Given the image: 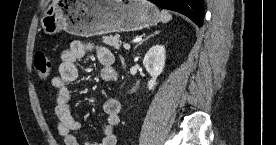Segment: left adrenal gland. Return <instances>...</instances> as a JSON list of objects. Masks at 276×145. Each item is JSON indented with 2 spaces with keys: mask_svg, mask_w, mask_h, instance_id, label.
<instances>
[{
  "mask_svg": "<svg viewBox=\"0 0 276 145\" xmlns=\"http://www.w3.org/2000/svg\"><path fill=\"white\" fill-rule=\"evenodd\" d=\"M160 33V31H155L153 34L147 36L146 38H144L142 41H140L136 46H135V49L141 45L144 41L148 40L150 37H153L155 35H158Z\"/></svg>",
  "mask_w": 276,
  "mask_h": 145,
  "instance_id": "left-adrenal-gland-1",
  "label": "left adrenal gland"
}]
</instances>
